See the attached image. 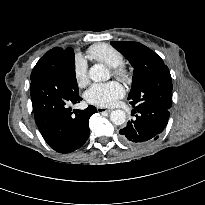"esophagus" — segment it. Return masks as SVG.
I'll use <instances>...</instances> for the list:
<instances>
[{"label":"esophagus","mask_w":205,"mask_h":205,"mask_svg":"<svg viewBox=\"0 0 205 205\" xmlns=\"http://www.w3.org/2000/svg\"><path fill=\"white\" fill-rule=\"evenodd\" d=\"M97 111L99 113H110L111 112L110 109H106V108H103V107H97Z\"/></svg>","instance_id":"esophagus-1"}]
</instances>
